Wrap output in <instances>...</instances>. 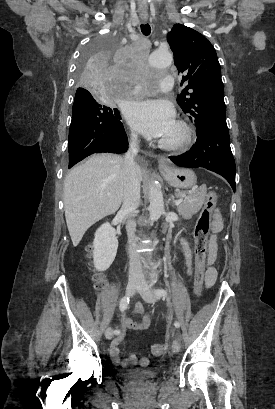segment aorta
Masks as SVG:
<instances>
[{"label": "aorta", "instance_id": "obj_1", "mask_svg": "<svg viewBox=\"0 0 275 409\" xmlns=\"http://www.w3.org/2000/svg\"><path fill=\"white\" fill-rule=\"evenodd\" d=\"M146 59L148 60L149 65H168L171 64L173 56L168 51H147ZM149 192V219L150 221H158L162 215V211H164L163 194L161 190L156 188L155 182H153ZM153 277H155V273L151 275V279H153Z\"/></svg>", "mask_w": 275, "mask_h": 409}]
</instances>
